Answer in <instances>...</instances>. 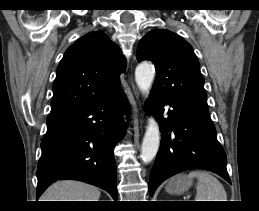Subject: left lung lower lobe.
Instances as JSON below:
<instances>
[{
	"mask_svg": "<svg viewBox=\"0 0 259 211\" xmlns=\"http://www.w3.org/2000/svg\"><path fill=\"white\" fill-rule=\"evenodd\" d=\"M169 105L168 118H163ZM147 106L159 120L161 144L152 167L149 193L167 178L191 169H205L231 182L226 169V154L217 140L208 108L175 101L151 91Z\"/></svg>",
	"mask_w": 259,
	"mask_h": 211,
	"instance_id": "left-lung-lower-lobe-1",
	"label": "left lung lower lobe"
}]
</instances>
